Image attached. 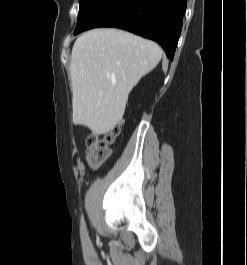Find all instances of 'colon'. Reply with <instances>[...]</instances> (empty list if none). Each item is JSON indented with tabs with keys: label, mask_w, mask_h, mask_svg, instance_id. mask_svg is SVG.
I'll return each instance as SVG.
<instances>
[{
	"label": "colon",
	"mask_w": 247,
	"mask_h": 265,
	"mask_svg": "<svg viewBox=\"0 0 247 265\" xmlns=\"http://www.w3.org/2000/svg\"><path fill=\"white\" fill-rule=\"evenodd\" d=\"M121 123L115 126L109 133L99 136L90 134L87 137L88 156L87 161L92 169H97L110 156V145L120 133Z\"/></svg>",
	"instance_id": "colon-1"
}]
</instances>
